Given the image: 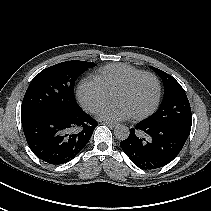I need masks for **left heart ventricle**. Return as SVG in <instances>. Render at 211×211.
Here are the masks:
<instances>
[{
  "label": "left heart ventricle",
  "mask_w": 211,
  "mask_h": 211,
  "mask_svg": "<svg viewBox=\"0 0 211 211\" xmlns=\"http://www.w3.org/2000/svg\"><path fill=\"white\" fill-rule=\"evenodd\" d=\"M156 84L150 77L142 78L124 92L112 96V101L124 105L132 115L148 110L156 98Z\"/></svg>",
  "instance_id": "left-heart-ventricle-1"
}]
</instances>
